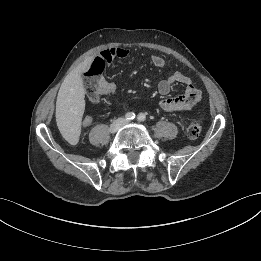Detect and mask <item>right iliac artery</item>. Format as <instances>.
<instances>
[{
    "instance_id": "right-iliac-artery-1",
    "label": "right iliac artery",
    "mask_w": 261,
    "mask_h": 261,
    "mask_svg": "<svg viewBox=\"0 0 261 261\" xmlns=\"http://www.w3.org/2000/svg\"><path fill=\"white\" fill-rule=\"evenodd\" d=\"M135 118V113L133 112H128L126 115H125V119L127 121H130V120H133Z\"/></svg>"
}]
</instances>
